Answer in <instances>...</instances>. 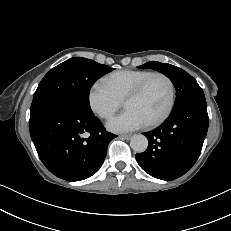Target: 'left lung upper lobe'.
Segmentation results:
<instances>
[{
  "instance_id": "5c2ea615",
  "label": "left lung upper lobe",
  "mask_w": 231,
  "mask_h": 231,
  "mask_svg": "<svg viewBox=\"0 0 231 231\" xmlns=\"http://www.w3.org/2000/svg\"><path fill=\"white\" fill-rule=\"evenodd\" d=\"M139 68H151L170 78L176 89L175 105L179 103L186 94L202 90L191 75L174 65L152 61L139 66Z\"/></svg>"
}]
</instances>
